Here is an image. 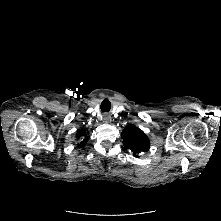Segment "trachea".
Listing matches in <instances>:
<instances>
[{
	"label": "trachea",
	"instance_id": "obj_1",
	"mask_svg": "<svg viewBox=\"0 0 221 221\" xmlns=\"http://www.w3.org/2000/svg\"><path fill=\"white\" fill-rule=\"evenodd\" d=\"M110 103L108 101H103L101 104L102 112H108L110 110Z\"/></svg>",
	"mask_w": 221,
	"mask_h": 221
}]
</instances>
